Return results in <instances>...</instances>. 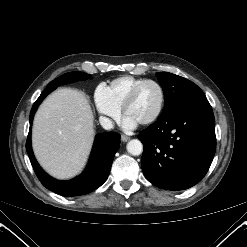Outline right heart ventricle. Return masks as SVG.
<instances>
[{"mask_svg":"<svg viewBox=\"0 0 247 247\" xmlns=\"http://www.w3.org/2000/svg\"><path fill=\"white\" fill-rule=\"evenodd\" d=\"M144 80L143 78L125 75L112 80L106 88L113 103L121 108L132 89Z\"/></svg>","mask_w":247,"mask_h":247,"instance_id":"e07e8e85","label":"right heart ventricle"}]
</instances>
